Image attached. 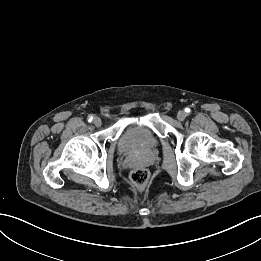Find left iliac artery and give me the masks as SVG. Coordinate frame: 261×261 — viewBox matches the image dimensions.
I'll return each instance as SVG.
<instances>
[{"label":"left iliac artery","mask_w":261,"mask_h":261,"mask_svg":"<svg viewBox=\"0 0 261 261\" xmlns=\"http://www.w3.org/2000/svg\"><path fill=\"white\" fill-rule=\"evenodd\" d=\"M185 111H186L187 113H189V112H190V109H189V108H186Z\"/></svg>","instance_id":"left-iliac-artery-1"}]
</instances>
